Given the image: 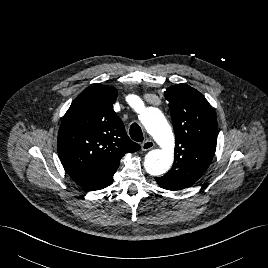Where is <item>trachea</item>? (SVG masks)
<instances>
[{
    "label": "trachea",
    "mask_w": 268,
    "mask_h": 268,
    "mask_svg": "<svg viewBox=\"0 0 268 268\" xmlns=\"http://www.w3.org/2000/svg\"><path fill=\"white\" fill-rule=\"evenodd\" d=\"M131 138L136 142H142L144 139L143 132L137 123H133L129 130Z\"/></svg>",
    "instance_id": "trachea-1"
}]
</instances>
